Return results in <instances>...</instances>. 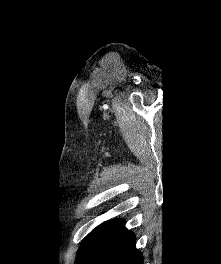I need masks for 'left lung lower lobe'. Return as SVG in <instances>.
I'll return each mask as SVG.
<instances>
[{
    "label": "left lung lower lobe",
    "mask_w": 221,
    "mask_h": 264,
    "mask_svg": "<svg viewBox=\"0 0 221 264\" xmlns=\"http://www.w3.org/2000/svg\"><path fill=\"white\" fill-rule=\"evenodd\" d=\"M135 240L123 220L104 222L82 242L75 264H143Z\"/></svg>",
    "instance_id": "0a47b994"
}]
</instances>
